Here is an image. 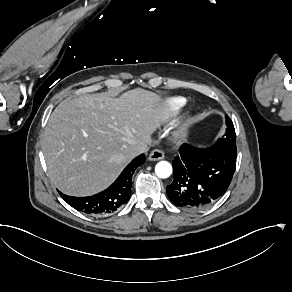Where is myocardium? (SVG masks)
I'll use <instances>...</instances> for the list:
<instances>
[{
    "label": "myocardium",
    "instance_id": "1",
    "mask_svg": "<svg viewBox=\"0 0 292 292\" xmlns=\"http://www.w3.org/2000/svg\"><path fill=\"white\" fill-rule=\"evenodd\" d=\"M191 124V120L186 118L184 120H182L180 123H179V126L175 132V136L176 138H181L182 136L185 135L188 127L190 126Z\"/></svg>",
    "mask_w": 292,
    "mask_h": 292
}]
</instances>
